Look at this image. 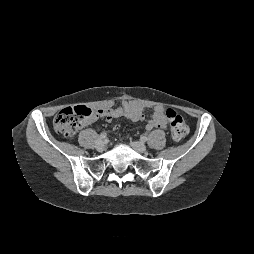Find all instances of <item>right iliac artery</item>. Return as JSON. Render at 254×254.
<instances>
[{
    "label": "right iliac artery",
    "mask_w": 254,
    "mask_h": 254,
    "mask_svg": "<svg viewBox=\"0 0 254 254\" xmlns=\"http://www.w3.org/2000/svg\"><path fill=\"white\" fill-rule=\"evenodd\" d=\"M106 136H107L106 133H101L100 136H99V138H100V139H104V138H106Z\"/></svg>",
    "instance_id": "1"
}]
</instances>
